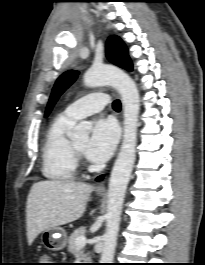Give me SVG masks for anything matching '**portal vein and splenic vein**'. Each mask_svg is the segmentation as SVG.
Listing matches in <instances>:
<instances>
[{
  "label": "portal vein and splenic vein",
  "instance_id": "portal-vein-and-splenic-vein-1",
  "mask_svg": "<svg viewBox=\"0 0 205 265\" xmlns=\"http://www.w3.org/2000/svg\"><path fill=\"white\" fill-rule=\"evenodd\" d=\"M86 237L84 235L78 236L75 240L77 247H83L86 244Z\"/></svg>",
  "mask_w": 205,
  "mask_h": 265
}]
</instances>
